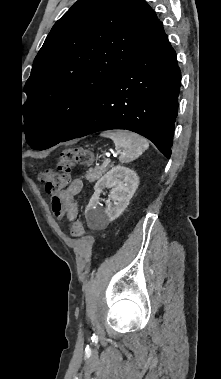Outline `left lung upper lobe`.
Here are the masks:
<instances>
[{"label":"left lung upper lobe","instance_id":"obj_1","mask_svg":"<svg viewBox=\"0 0 221 379\" xmlns=\"http://www.w3.org/2000/svg\"><path fill=\"white\" fill-rule=\"evenodd\" d=\"M158 24L144 0H78L54 24L25 84L27 143H59Z\"/></svg>","mask_w":221,"mask_h":379}]
</instances>
